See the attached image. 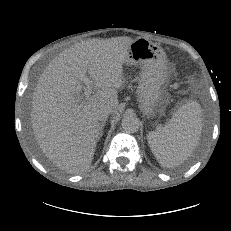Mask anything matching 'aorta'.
<instances>
[{
	"mask_svg": "<svg viewBox=\"0 0 231 231\" xmlns=\"http://www.w3.org/2000/svg\"><path fill=\"white\" fill-rule=\"evenodd\" d=\"M122 128L127 133H135L139 130L140 121L136 116L127 115L122 119Z\"/></svg>",
	"mask_w": 231,
	"mask_h": 231,
	"instance_id": "aorta-1",
	"label": "aorta"
}]
</instances>
